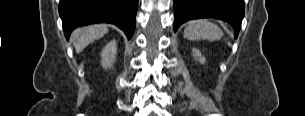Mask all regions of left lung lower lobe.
I'll use <instances>...</instances> for the list:
<instances>
[{
    "instance_id": "0a47b994",
    "label": "left lung lower lobe",
    "mask_w": 305,
    "mask_h": 116,
    "mask_svg": "<svg viewBox=\"0 0 305 116\" xmlns=\"http://www.w3.org/2000/svg\"><path fill=\"white\" fill-rule=\"evenodd\" d=\"M174 31L181 24L198 18H216L227 21L235 30L241 28L244 17V0H173Z\"/></svg>"
}]
</instances>
